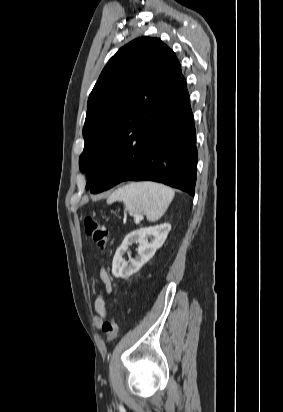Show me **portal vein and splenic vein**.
Returning a JSON list of instances; mask_svg holds the SVG:
<instances>
[{
    "label": "portal vein and splenic vein",
    "mask_w": 283,
    "mask_h": 412,
    "mask_svg": "<svg viewBox=\"0 0 283 412\" xmlns=\"http://www.w3.org/2000/svg\"><path fill=\"white\" fill-rule=\"evenodd\" d=\"M142 218H143L142 216H137V217H135L134 221L136 223H139L142 220Z\"/></svg>",
    "instance_id": "portal-vein-and-splenic-vein-1"
}]
</instances>
